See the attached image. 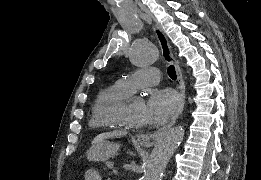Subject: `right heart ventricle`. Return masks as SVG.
Segmentation results:
<instances>
[{"mask_svg":"<svg viewBox=\"0 0 261 180\" xmlns=\"http://www.w3.org/2000/svg\"><path fill=\"white\" fill-rule=\"evenodd\" d=\"M129 93L125 92L118 84H114L102 90L93 105L89 119L90 133L98 131H117L115 127V112L124 106L125 99ZM119 136H113L116 138ZM113 138H92V139H113Z\"/></svg>","mask_w":261,"mask_h":180,"instance_id":"right-heart-ventricle-1","label":"right heart ventricle"}]
</instances>
